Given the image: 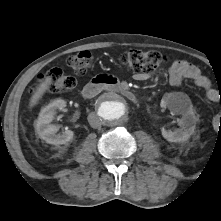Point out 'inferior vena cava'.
Segmentation results:
<instances>
[{"label":"inferior vena cava","mask_w":221,"mask_h":221,"mask_svg":"<svg viewBox=\"0 0 221 221\" xmlns=\"http://www.w3.org/2000/svg\"><path fill=\"white\" fill-rule=\"evenodd\" d=\"M88 122L92 128H99L101 126V121L99 117L94 112H91L88 115Z\"/></svg>","instance_id":"1"}]
</instances>
